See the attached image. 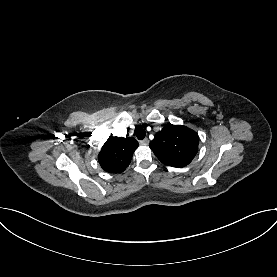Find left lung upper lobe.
<instances>
[{"label":"left lung upper lobe","mask_w":277,"mask_h":277,"mask_svg":"<svg viewBox=\"0 0 277 277\" xmlns=\"http://www.w3.org/2000/svg\"><path fill=\"white\" fill-rule=\"evenodd\" d=\"M198 134L181 125L167 124L149 147L164 164L172 167H184L195 157L198 151Z\"/></svg>","instance_id":"left-lung-upper-lobe-1"}]
</instances>
